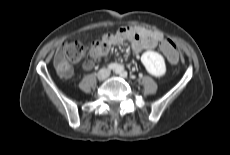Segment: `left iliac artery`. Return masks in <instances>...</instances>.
<instances>
[{
  "label": "left iliac artery",
  "instance_id": "obj_1",
  "mask_svg": "<svg viewBox=\"0 0 230 155\" xmlns=\"http://www.w3.org/2000/svg\"><path fill=\"white\" fill-rule=\"evenodd\" d=\"M115 72H116L117 74H121V75H124V74H125V71H124V69H123L122 66H118V67L116 68Z\"/></svg>",
  "mask_w": 230,
  "mask_h": 155
}]
</instances>
